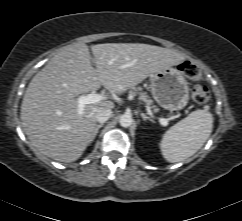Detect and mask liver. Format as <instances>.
Returning <instances> with one entry per match:
<instances>
[{
    "instance_id": "obj_1",
    "label": "liver",
    "mask_w": 242,
    "mask_h": 221,
    "mask_svg": "<svg viewBox=\"0 0 242 221\" xmlns=\"http://www.w3.org/2000/svg\"><path fill=\"white\" fill-rule=\"evenodd\" d=\"M64 47L31 80L21 105L25 134L41 154L74 162L93 141L98 108L113 109L110 100L87 104L78 113L77 96L101 86L122 94L154 73L179 65L181 53L141 43H105Z\"/></svg>"
}]
</instances>
